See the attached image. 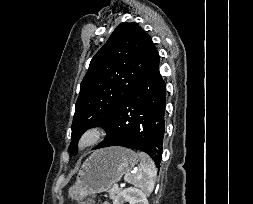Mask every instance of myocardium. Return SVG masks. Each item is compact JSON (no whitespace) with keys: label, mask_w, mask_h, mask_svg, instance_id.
Returning a JSON list of instances; mask_svg holds the SVG:
<instances>
[{"label":"myocardium","mask_w":253,"mask_h":204,"mask_svg":"<svg viewBox=\"0 0 253 204\" xmlns=\"http://www.w3.org/2000/svg\"><path fill=\"white\" fill-rule=\"evenodd\" d=\"M106 136V130L101 126H92L83 131L77 139L76 148L86 152L97 146Z\"/></svg>","instance_id":"1"}]
</instances>
